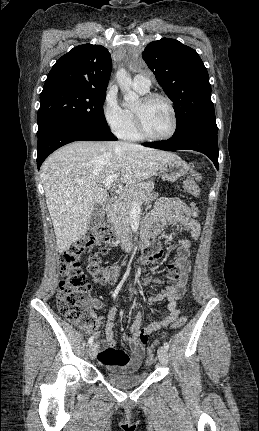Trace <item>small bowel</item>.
<instances>
[{
    "label": "small bowel",
    "instance_id": "1",
    "mask_svg": "<svg viewBox=\"0 0 259 431\" xmlns=\"http://www.w3.org/2000/svg\"><path fill=\"white\" fill-rule=\"evenodd\" d=\"M187 205L182 200L174 197H164L157 201L154 208L144 217L141 224V246L146 248L151 240L155 239L167 223L177 224L190 232L194 240L200 234V226L196 217L191 216ZM190 247L191 241L180 239L177 243L176 259L168 263L166 270L168 278L173 284L168 285L163 290L148 298L150 304H155L166 300L168 302L169 313L160 321H155L142 327V313L138 311L131 325L130 336H123V340L128 343L131 353L115 349L114 320L116 317L118 302L110 305L105 321L104 340H99L100 347L98 361L108 369L137 368L144 355L145 344L141 341L142 333L151 334L172 324L179 316L178 301L184 297L187 291L188 273L190 271ZM160 285V282H157ZM93 307L100 309L103 303L97 299H91ZM100 321L97 320L95 328H98Z\"/></svg>",
    "mask_w": 259,
    "mask_h": 431
}]
</instances>
